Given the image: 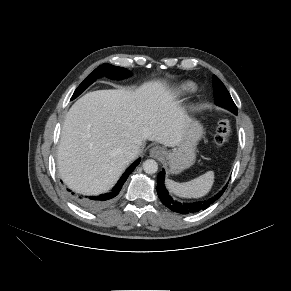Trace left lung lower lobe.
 <instances>
[{"label": "left lung lower lobe", "mask_w": 291, "mask_h": 291, "mask_svg": "<svg viewBox=\"0 0 291 291\" xmlns=\"http://www.w3.org/2000/svg\"><path fill=\"white\" fill-rule=\"evenodd\" d=\"M237 114V113H235ZM165 172L164 170L158 174L157 178V193L162 203L174 212L180 214H194L207 209L213 204L225 191L227 185L215 196L195 202H181L174 200L168 193L164 185Z\"/></svg>", "instance_id": "1"}]
</instances>
